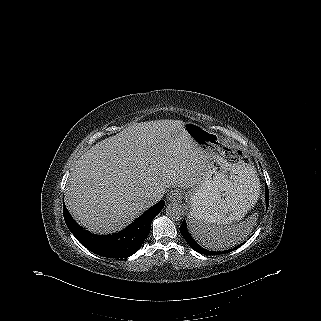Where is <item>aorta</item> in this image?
<instances>
[{"instance_id": "obj_1", "label": "aorta", "mask_w": 321, "mask_h": 321, "mask_svg": "<svg viewBox=\"0 0 321 321\" xmlns=\"http://www.w3.org/2000/svg\"><path fill=\"white\" fill-rule=\"evenodd\" d=\"M184 208L181 204L173 202L166 207V214L171 219L179 220L184 216Z\"/></svg>"}]
</instances>
